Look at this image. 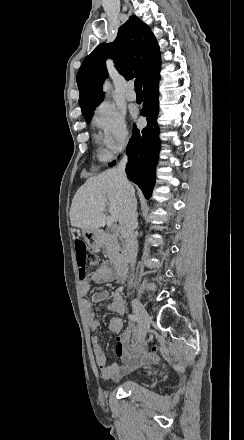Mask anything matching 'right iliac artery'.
<instances>
[{"mask_svg":"<svg viewBox=\"0 0 244 440\" xmlns=\"http://www.w3.org/2000/svg\"><path fill=\"white\" fill-rule=\"evenodd\" d=\"M129 319L133 322H138L139 323V318L137 317L136 314H130L129 315Z\"/></svg>","mask_w":244,"mask_h":440,"instance_id":"obj_1","label":"right iliac artery"}]
</instances>
